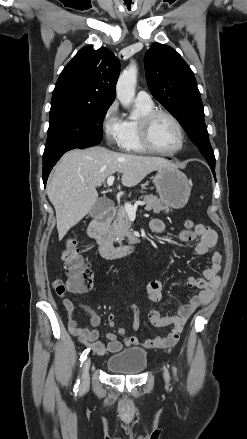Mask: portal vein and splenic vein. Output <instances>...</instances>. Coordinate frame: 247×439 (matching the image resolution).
<instances>
[{"label":"portal vein and splenic vein","instance_id":"portal-vein-and-splenic-vein-1","mask_svg":"<svg viewBox=\"0 0 247 439\" xmlns=\"http://www.w3.org/2000/svg\"><path fill=\"white\" fill-rule=\"evenodd\" d=\"M114 180H115V177L113 175L109 176L107 179V185L112 186ZM143 205H145V203L141 202V201L136 202L134 205L125 203V210L129 216H135L137 207L143 206Z\"/></svg>","mask_w":247,"mask_h":439}]
</instances>
